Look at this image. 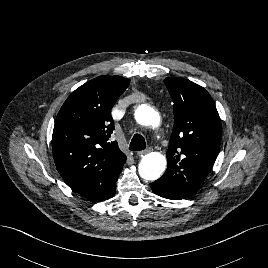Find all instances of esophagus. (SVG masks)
<instances>
[{"label":"esophagus","instance_id":"esophagus-1","mask_svg":"<svg viewBox=\"0 0 268 268\" xmlns=\"http://www.w3.org/2000/svg\"><path fill=\"white\" fill-rule=\"evenodd\" d=\"M151 151H152V148H151V147H148L146 150L139 151V152L137 153V155H139V156H143V155H145V154H148V153L151 152Z\"/></svg>","mask_w":268,"mask_h":268}]
</instances>
